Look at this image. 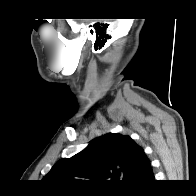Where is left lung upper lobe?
<instances>
[{
    "label": "left lung upper lobe",
    "instance_id": "1",
    "mask_svg": "<svg viewBox=\"0 0 196 196\" xmlns=\"http://www.w3.org/2000/svg\"><path fill=\"white\" fill-rule=\"evenodd\" d=\"M149 164L143 148L130 136L107 133L73 157L59 160L43 179L57 187L135 188Z\"/></svg>",
    "mask_w": 196,
    "mask_h": 196
}]
</instances>
